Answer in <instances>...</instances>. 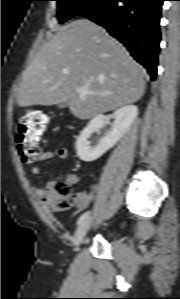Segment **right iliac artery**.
I'll use <instances>...</instances> for the list:
<instances>
[{
	"mask_svg": "<svg viewBox=\"0 0 180 299\" xmlns=\"http://www.w3.org/2000/svg\"><path fill=\"white\" fill-rule=\"evenodd\" d=\"M89 214H90V211H87V212L83 213V214L79 217V219H78V221H77V225H80L83 221H85V220L88 218Z\"/></svg>",
	"mask_w": 180,
	"mask_h": 299,
	"instance_id": "1",
	"label": "right iliac artery"
}]
</instances>
